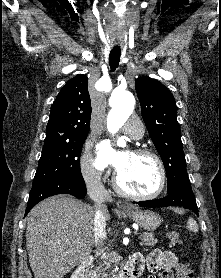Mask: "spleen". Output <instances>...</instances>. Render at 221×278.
Returning a JSON list of instances; mask_svg holds the SVG:
<instances>
[{"instance_id":"1","label":"spleen","mask_w":221,"mask_h":278,"mask_svg":"<svg viewBox=\"0 0 221 278\" xmlns=\"http://www.w3.org/2000/svg\"><path fill=\"white\" fill-rule=\"evenodd\" d=\"M187 227L190 231H193V232H198L199 228H198V225L196 223V221L192 218H189L188 221H187Z\"/></svg>"}]
</instances>
